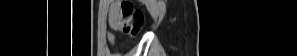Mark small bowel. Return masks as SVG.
<instances>
[{
  "label": "small bowel",
  "instance_id": "1",
  "mask_svg": "<svg viewBox=\"0 0 297 56\" xmlns=\"http://www.w3.org/2000/svg\"><path fill=\"white\" fill-rule=\"evenodd\" d=\"M108 22L112 29L118 30L120 25V16L118 14V4H113L110 8L108 15ZM108 39L111 43L114 42L115 36L113 33H109Z\"/></svg>",
  "mask_w": 297,
  "mask_h": 56
}]
</instances>
